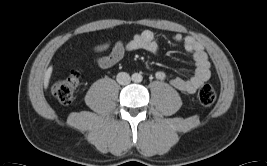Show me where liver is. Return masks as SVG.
<instances>
[{"label":"liver","mask_w":267,"mask_h":166,"mask_svg":"<svg viewBox=\"0 0 267 166\" xmlns=\"http://www.w3.org/2000/svg\"><path fill=\"white\" fill-rule=\"evenodd\" d=\"M52 66H50L46 71H45V74H44V88L47 89L48 85H49V80H50V77H51V74H52Z\"/></svg>","instance_id":"obj_1"}]
</instances>
